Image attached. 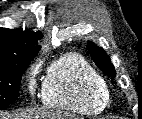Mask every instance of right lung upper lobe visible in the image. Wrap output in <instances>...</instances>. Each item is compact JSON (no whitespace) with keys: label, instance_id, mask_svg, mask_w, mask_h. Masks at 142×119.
<instances>
[{"label":"right lung upper lobe","instance_id":"1","mask_svg":"<svg viewBox=\"0 0 142 119\" xmlns=\"http://www.w3.org/2000/svg\"><path fill=\"white\" fill-rule=\"evenodd\" d=\"M41 32L0 28V65L25 59H33L40 46Z\"/></svg>","mask_w":142,"mask_h":119}]
</instances>
